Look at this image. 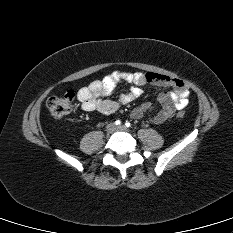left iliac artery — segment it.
<instances>
[{"label": "left iliac artery", "instance_id": "44dca946", "mask_svg": "<svg viewBox=\"0 0 233 233\" xmlns=\"http://www.w3.org/2000/svg\"><path fill=\"white\" fill-rule=\"evenodd\" d=\"M125 126H126V127H130V126H131L130 122H126V123H125Z\"/></svg>", "mask_w": 233, "mask_h": 233}]
</instances>
